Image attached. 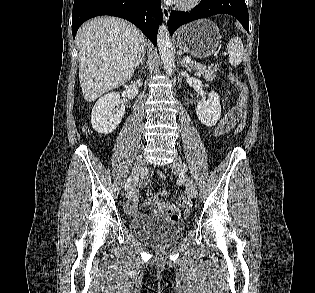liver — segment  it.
Wrapping results in <instances>:
<instances>
[{"label": "liver", "instance_id": "1", "mask_svg": "<svg viewBox=\"0 0 315 293\" xmlns=\"http://www.w3.org/2000/svg\"><path fill=\"white\" fill-rule=\"evenodd\" d=\"M76 42L79 81L87 102L130 80L145 47L142 32L116 17H99L86 22L78 30Z\"/></svg>", "mask_w": 315, "mask_h": 293}]
</instances>
